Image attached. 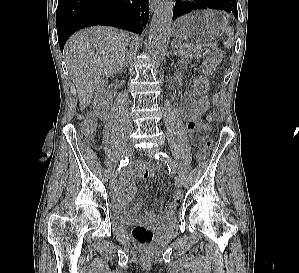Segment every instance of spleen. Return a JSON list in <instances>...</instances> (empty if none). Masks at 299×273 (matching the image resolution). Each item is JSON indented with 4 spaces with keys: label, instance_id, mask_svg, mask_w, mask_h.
Instances as JSON below:
<instances>
[{
    "label": "spleen",
    "instance_id": "obj_1",
    "mask_svg": "<svg viewBox=\"0 0 299 273\" xmlns=\"http://www.w3.org/2000/svg\"><path fill=\"white\" fill-rule=\"evenodd\" d=\"M226 34H227V36L229 37V39H228V41L226 42L225 45H226V47L230 48V47H232L233 44H234V38L232 37V36L234 35V29L231 28V27H228V28L226 29Z\"/></svg>",
    "mask_w": 299,
    "mask_h": 273
}]
</instances>
